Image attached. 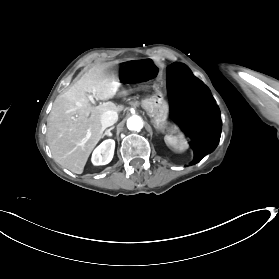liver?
Instances as JSON below:
<instances>
[{
	"instance_id": "1",
	"label": "liver",
	"mask_w": 279,
	"mask_h": 279,
	"mask_svg": "<svg viewBox=\"0 0 279 279\" xmlns=\"http://www.w3.org/2000/svg\"><path fill=\"white\" fill-rule=\"evenodd\" d=\"M121 86L110 68L91 69L68 91L57 96L47 118V143L56 163L75 174L83 173L105 130L101 124L102 113L118 111L112 101L94 105L90 95L109 100L118 94Z\"/></svg>"
}]
</instances>
